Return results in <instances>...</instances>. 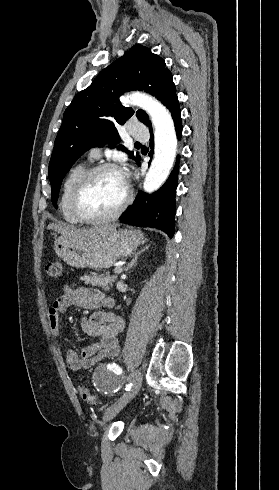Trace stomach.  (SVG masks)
I'll return each instance as SVG.
<instances>
[{
	"instance_id": "0dacf381",
	"label": "stomach",
	"mask_w": 279,
	"mask_h": 490,
	"mask_svg": "<svg viewBox=\"0 0 279 490\" xmlns=\"http://www.w3.org/2000/svg\"><path fill=\"white\" fill-rule=\"evenodd\" d=\"M146 238L140 230H112L95 234L90 240H69L60 236L54 242V252L71 268L106 270L117 260L127 258Z\"/></svg>"
}]
</instances>
